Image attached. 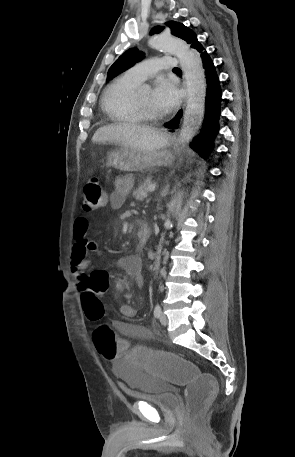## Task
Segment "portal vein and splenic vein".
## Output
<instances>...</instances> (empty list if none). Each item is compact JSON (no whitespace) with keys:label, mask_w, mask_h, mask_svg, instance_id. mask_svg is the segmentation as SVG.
Segmentation results:
<instances>
[{"label":"portal vein and splenic vein","mask_w":295,"mask_h":457,"mask_svg":"<svg viewBox=\"0 0 295 457\" xmlns=\"http://www.w3.org/2000/svg\"><path fill=\"white\" fill-rule=\"evenodd\" d=\"M155 187L156 185L155 184H150L147 188L148 191H154L155 190Z\"/></svg>","instance_id":"portal-vein-and-splenic-vein-1"}]
</instances>
